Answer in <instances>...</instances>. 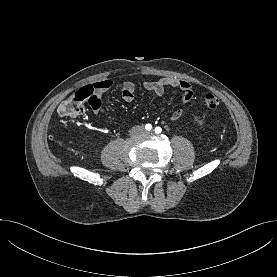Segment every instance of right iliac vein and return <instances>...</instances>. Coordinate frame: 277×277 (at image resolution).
<instances>
[{"label":"right iliac vein","instance_id":"obj_1","mask_svg":"<svg viewBox=\"0 0 277 277\" xmlns=\"http://www.w3.org/2000/svg\"><path fill=\"white\" fill-rule=\"evenodd\" d=\"M134 133H137V130H134Z\"/></svg>","mask_w":277,"mask_h":277}]
</instances>
